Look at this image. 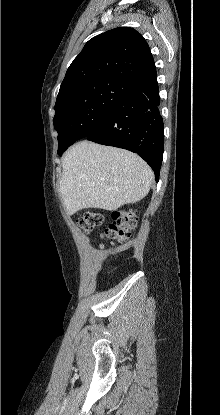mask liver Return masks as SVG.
<instances>
[{
	"instance_id": "liver-1",
	"label": "liver",
	"mask_w": 220,
	"mask_h": 415,
	"mask_svg": "<svg viewBox=\"0 0 220 415\" xmlns=\"http://www.w3.org/2000/svg\"><path fill=\"white\" fill-rule=\"evenodd\" d=\"M60 193L69 214L86 208L114 211L143 199L153 172L138 155L82 141L62 161Z\"/></svg>"
}]
</instances>
